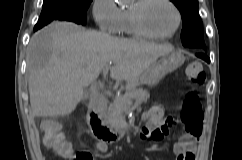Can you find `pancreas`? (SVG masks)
Returning <instances> with one entry per match:
<instances>
[{
    "label": "pancreas",
    "instance_id": "cf45deb5",
    "mask_svg": "<svg viewBox=\"0 0 242 160\" xmlns=\"http://www.w3.org/2000/svg\"><path fill=\"white\" fill-rule=\"evenodd\" d=\"M149 97L145 89H132L124 95L115 96L104 114L105 122L115 130L125 128L127 123L124 114L133 105V101L138 106L146 102Z\"/></svg>",
    "mask_w": 242,
    "mask_h": 160
}]
</instances>
